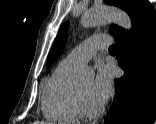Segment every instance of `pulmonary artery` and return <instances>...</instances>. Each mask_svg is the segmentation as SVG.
I'll return each mask as SVG.
<instances>
[{
  "label": "pulmonary artery",
  "mask_w": 156,
  "mask_h": 124,
  "mask_svg": "<svg viewBox=\"0 0 156 124\" xmlns=\"http://www.w3.org/2000/svg\"><path fill=\"white\" fill-rule=\"evenodd\" d=\"M110 44L111 41L108 35L90 37L74 48L63 61L72 66H81L87 63L98 50L107 48Z\"/></svg>",
  "instance_id": "pulmonary-artery-1"
}]
</instances>
